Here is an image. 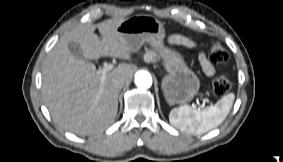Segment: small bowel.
<instances>
[{
    "label": "small bowel",
    "mask_w": 283,
    "mask_h": 162,
    "mask_svg": "<svg viewBox=\"0 0 283 162\" xmlns=\"http://www.w3.org/2000/svg\"><path fill=\"white\" fill-rule=\"evenodd\" d=\"M169 42L172 44H177V45H182L188 48H193L195 47V44L189 40L188 38L185 37H181V36H174L171 37L169 39ZM199 63L200 66L203 70V72L207 75V76H212L215 72L214 67L210 64V62L206 59L205 55L203 53L199 54Z\"/></svg>",
    "instance_id": "c3829d8e"
}]
</instances>
